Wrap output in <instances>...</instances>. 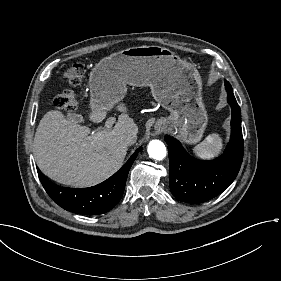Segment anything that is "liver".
Masks as SVG:
<instances>
[{
	"label": "liver",
	"instance_id": "1",
	"mask_svg": "<svg viewBox=\"0 0 281 281\" xmlns=\"http://www.w3.org/2000/svg\"><path fill=\"white\" fill-rule=\"evenodd\" d=\"M108 109L92 108L89 120L102 122ZM117 109L122 114L114 128L94 134L89 127L67 120L60 111L47 112L36 129L33 144L40 170L52 180L74 187L94 186L114 174L128 150L119 136L138 133L125 104H119Z\"/></svg>",
	"mask_w": 281,
	"mask_h": 281
}]
</instances>
